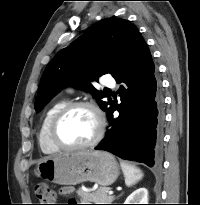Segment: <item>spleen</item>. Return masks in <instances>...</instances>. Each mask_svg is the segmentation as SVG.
<instances>
[{
    "label": "spleen",
    "instance_id": "spleen-1",
    "mask_svg": "<svg viewBox=\"0 0 200 205\" xmlns=\"http://www.w3.org/2000/svg\"><path fill=\"white\" fill-rule=\"evenodd\" d=\"M120 164L125 177V184L127 186H132L142 179L143 172L138 167L126 162H121Z\"/></svg>",
    "mask_w": 200,
    "mask_h": 205
}]
</instances>
